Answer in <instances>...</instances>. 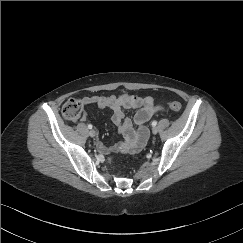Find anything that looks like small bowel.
<instances>
[{
  "label": "small bowel",
  "instance_id": "c3829d8e",
  "mask_svg": "<svg viewBox=\"0 0 243 243\" xmlns=\"http://www.w3.org/2000/svg\"><path fill=\"white\" fill-rule=\"evenodd\" d=\"M84 105L95 104L99 108H110L113 111L112 120L117 125L122 136V141L108 146L102 142H97L98 150L103 154H113L118 152H138L146 143L147 133L143 127L152 116L165 109L157 105L151 96H139L135 94L122 93L119 95H93L82 98ZM137 109L134 115V123L138 126L135 130L131 118L126 117L125 112ZM89 114L84 112L81 121L86 122Z\"/></svg>",
  "mask_w": 243,
  "mask_h": 243
}]
</instances>
